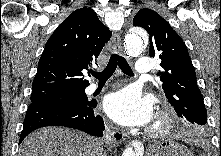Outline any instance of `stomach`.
Returning a JSON list of instances; mask_svg holds the SVG:
<instances>
[{"label":"stomach","instance_id":"stomach-1","mask_svg":"<svg viewBox=\"0 0 221 156\" xmlns=\"http://www.w3.org/2000/svg\"><path fill=\"white\" fill-rule=\"evenodd\" d=\"M149 156H194L184 146L168 140L159 143L150 151Z\"/></svg>","mask_w":221,"mask_h":156}]
</instances>
